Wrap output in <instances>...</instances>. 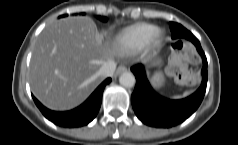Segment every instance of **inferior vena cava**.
Returning a JSON list of instances; mask_svg holds the SVG:
<instances>
[{
	"mask_svg": "<svg viewBox=\"0 0 238 145\" xmlns=\"http://www.w3.org/2000/svg\"><path fill=\"white\" fill-rule=\"evenodd\" d=\"M115 69H116V63L114 61H108V62H105L101 66L99 73L103 77H111L113 76Z\"/></svg>",
	"mask_w": 238,
	"mask_h": 145,
	"instance_id": "1",
	"label": "inferior vena cava"
}]
</instances>
